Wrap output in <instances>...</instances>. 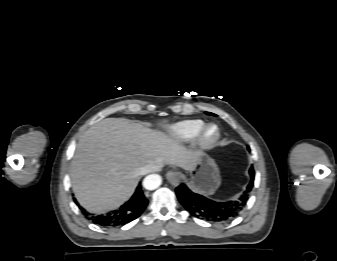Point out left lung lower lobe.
<instances>
[{
    "label": "left lung lower lobe",
    "instance_id": "0a47b994",
    "mask_svg": "<svg viewBox=\"0 0 337 261\" xmlns=\"http://www.w3.org/2000/svg\"><path fill=\"white\" fill-rule=\"evenodd\" d=\"M251 180L242 195L232 201H213L189 190L181 184L176 188V195L184 208L197 218L212 222H228L237 217L244 209L249 199L254 183V169L250 168Z\"/></svg>",
    "mask_w": 337,
    "mask_h": 261
}]
</instances>
